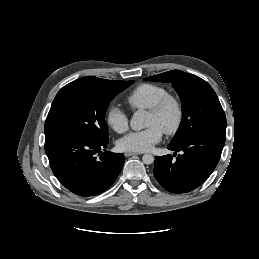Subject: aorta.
Masks as SVG:
<instances>
[{
    "instance_id": "762f6f07",
    "label": "aorta",
    "mask_w": 259,
    "mask_h": 259,
    "mask_svg": "<svg viewBox=\"0 0 259 259\" xmlns=\"http://www.w3.org/2000/svg\"><path fill=\"white\" fill-rule=\"evenodd\" d=\"M130 126L133 130L139 131L148 126V114L144 110H137L134 112L131 120ZM142 161L144 164H151L154 162V157L151 154H144L142 157Z\"/></svg>"
}]
</instances>
